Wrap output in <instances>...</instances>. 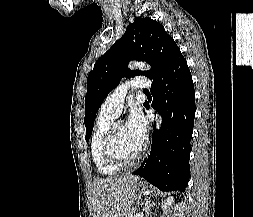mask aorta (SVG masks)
Segmentation results:
<instances>
[{
	"mask_svg": "<svg viewBox=\"0 0 253 217\" xmlns=\"http://www.w3.org/2000/svg\"><path fill=\"white\" fill-rule=\"evenodd\" d=\"M130 67H132V68H139L141 70L150 69V67L148 65H146L144 62H132V63H130ZM161 123H162V117H161V115H159L157 113L156 114L157 129H160Z\"/></svg>",
	"mask_w": 253,
	"mask_h": 217,
	"instance_id": "obj_1",
	"label": "aorta"
}]
</instances>
